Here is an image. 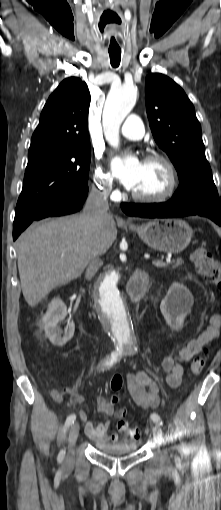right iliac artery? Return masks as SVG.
<instances>
[{"instance_id":"obj_1","label":"right iliac artery","mask_w":221,"mask_h":510,"mask_svg":"<svg viewBox=\"0 0 221 510\" xmlns=\"http://www.w3.org/2000/svg\"><path fill=\"white\" fill-rule=\"evenodd\" d=\"M117 358H118V353L113 352V353L111 354V358H110V360L106 361V362L104 363V366H109V365L113 364L114 362H116V361H117ZM75 419H76V415H75V414H71V415H69V416L67 417L66 422H65V430H66L69 426H71V425L74 423ZM64 453H65V452H64L63 450H61V451H60V453H59V455H58V460H59V461H62V460H63V458H64Z\"/></svg>"}]
</instances>
